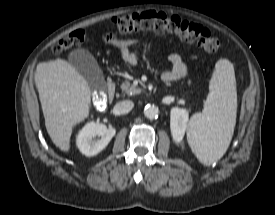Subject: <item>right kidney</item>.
<instances>
[{"label":"right kidney","mask_w":275,"mask_h":215,"mask_svg":"<svg viewBox=\"0 0 275 215\" xmlns=\"http://www.w3.org/2000/svg\"><path fill=\"white\" fill-rule=\"evenodd\" d=\"M115 133L116 130L113 127L107 128L104 124L90 122L78 133L76 144L82 154L94 156L108 145Z\"/></svg>","instance_id":"obj_1"}]
</instances>
